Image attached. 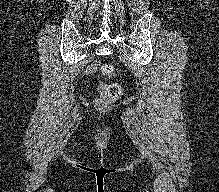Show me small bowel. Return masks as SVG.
I'll list each match as a JSON object with an SVG mask.
<instances>
[{
  "label": "small bowel",
  "instance_id": "c3829d8e",
  "mask_svg": "<svg viewBox=\"0 0 219 192\" xmlns=\"http://www.w3.org/2000/svg\"><path fill=\"white\" fill-rule=\"evenodd\" d=\"M98 65H99V63L97 61H95L92 64H90L88 69H87V73L88 74H93L96 71Z\"/></svg>",
  "mask_w": 219,
  "mask_h": 192
}]
</instances>
